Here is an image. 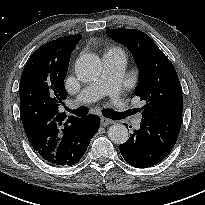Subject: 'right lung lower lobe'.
Here are the masks:
<instances>
[{
  "instance_id": "right-lung-lower-lobe-1",
  "label": "right lung lower lobe",
  "mask_w": 205,
  "mask_h": 205,
  "mask_svg": "<svg viewBox=\"0 0 205 205\" xmlns=\"http://www.w3.org/2000/svg\"><path fill=\"white\" fill-rule=\"evenodd\" d=\"M98 127L99 119L94 116L80 118L71 124L47 162L57 166H71L77 163L86 152Z\"/></svg>"
}]
</instances>
